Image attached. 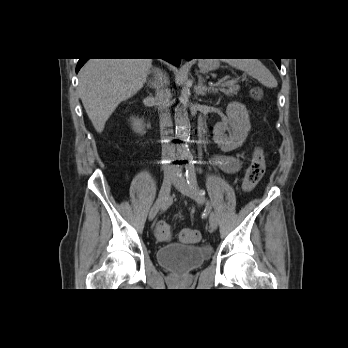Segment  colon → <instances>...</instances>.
<instances>
[{"instance_id": "5ec220e1", "label": "colon", "mask_w": 348, "mask_h": 348, "mask_svg": "<svg viewBox=\"0 0 348 348\" xmlns=\"http://www.w3.org/2000/svg\"><path fill=\"white\" fill-rule=\"evenodd\" d=\"M256 98L260 97L261 92L255 89L253 92ZM266 170V158L262 147L258 146L254 149L252 160L247 167L243 180V189L252 190L260 181ZM155 235L161 241H168L172 237L171 227L166 222H159L155 227ZM179 239L184 243H196L200 240L198 231L184 228L179 232Z\"/></svg>"}]
</instances>
